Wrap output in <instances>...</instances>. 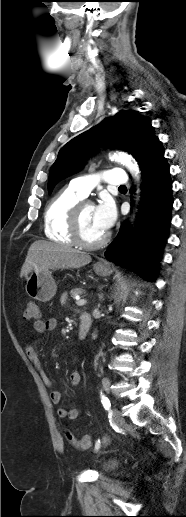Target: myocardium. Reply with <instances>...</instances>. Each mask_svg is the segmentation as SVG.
<instances>
[{"mask_svg":"<svg viewBox=\"0 0 186 517\" xmlns=\"http://www.w3.org/2000/svg\"><path fill=\"white\" fill-rule=\"evenodd\" d=\"M85 205H93L90 201L81 200L73 208L70 218V230L73 241L80 247L86 249H96L103 246L109 239V234L105 233L96 241H88L83 237L81 230V211Z\"/></svg>","mask_w":186,"mask_h":517,"instance_id":"f54148a6","label":"myocardium"}]
</instances>
